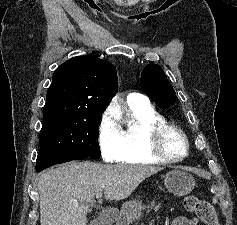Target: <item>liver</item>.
<instances>
[{"instance_id":"1","label":"liver","mask_w":237,"mask_h":225,"mask_svg":"<svg viewBox=\"0 0 237 225\" xmlns=\"http://www.w3.org/2000/svg\"><path fill=\"white\" fill-rule=\"evenodd\" d=\"M161 168L69 162L41 174L38 181L41 225H86L89 203L104 190L106 200H123ZM101 204V200L98 201Z\"/></svg>"}]
</instances>
